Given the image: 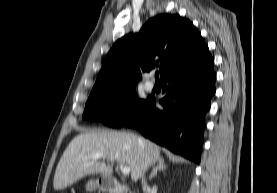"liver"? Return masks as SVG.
I'll return each instance as SVG.
<instances>
[{"instance_id":"liver-1","label":"liver","mask_w":277,"mask_h":193,"mask_svg":"<svg viewBox=\"0 0 277 193\" xmlns=\"http://www.w3.org/2000/svg\"><path fill=\"white\" fill-rule=\"evenodd\" d=\"M98 152H102V158L110 164L90 158ZM159 158L160 147L150 140L125 132L90 130L76 136L64 151L53 187L62 190L90 174L109 177L115 160L130 167L131 178L137 181Z\"/></svg>"}]
</instances>
